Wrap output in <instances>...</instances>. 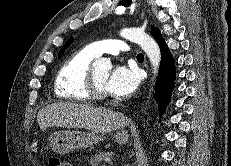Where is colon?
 <instances>
[{"instance_id": "obj_1", "label": "colon", "mask_w": 231, "mask_h": 166, "mask_svg": "<svg viewBox=\"0 0 231 166\" xmlns=\"http://www.w3.org/2000/svg\"><path fill=\"white\" fill-rule=\"evenodd\" d=\"M47 166H71L69 162L61 160L56 156H50L47 159Z\"/></svg>"}]
</instances>
